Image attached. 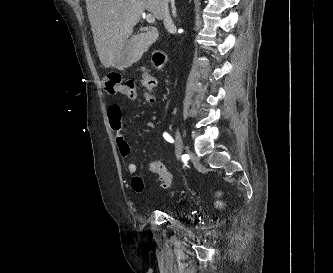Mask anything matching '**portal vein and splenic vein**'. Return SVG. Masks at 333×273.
<instances>
[{"mask_svg":"<svg viewBox=\"0 0 333 273\" xmlns=\"http://www.w3.org/2000/svg\"><path fill=\"white\" fill-rule=\"evenodd\" d=\"M145 19L148 23L153 24L155 22V17L152 14H147Z\"/></svg>","mask_w":333,"mask_h":273,"instance_id":"obj_1","label":"portal vein and splenic vein"}]
</instances>
